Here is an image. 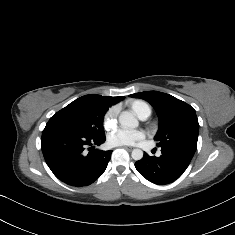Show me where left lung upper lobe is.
I'll use <instances>...</instances> for the list:
<instances>
[{"label": "left lung upper lobe", "mask_w": 235, "mask_h": 235, "mask_svg": "<svg viewBox=\"0 0 235 235\" xmlns=\"http://www.w3.org/2000/svg\"><path fill=\"white\" fill-rule=\"evenodd\" d=\"M130 97L148 101L159 117L155 140L158 147L177 146L191 152L197 149L199 123L195 110L187 103L158 91L140 92Z\"/></svg>", "instance_id": "1"}]
</instances>
